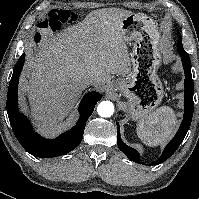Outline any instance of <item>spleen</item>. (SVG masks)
Returning <instances> with one entry per match:
<instances>
[{
  "instance_id": "3e777b00",
  "label": "spleen",
  "mask_w": 199,
  "mask_h": 199,
  "mask_svg": "<svg viewBox=\"0 0 199 199\" xmlns=\"http://www.w3.org/2000/svg\"><path fill=\"white\" fill-rule=\"evenodd\" d=\"M176 124L173 109L162 106L140 120L136 129L137 135L148 146L163 145L173 135Z\"/></svg>"
}]
</instances>
